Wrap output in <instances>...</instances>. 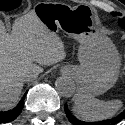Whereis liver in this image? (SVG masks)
<instances>
[{
	"label": "liver",
	"instance_id": "1",
	"mask_svg": "<svg viewBox=\"0 0 125 125\" xmlns=\"http://www.w3.org/2000/svg\"><path fill=\"white\" fill-rule=\"evenodd\" d=\"M65 57L63 42L40 22L34 11L17 18L11 33L0 21V110L11 109L18 102L23 74H39L43 71L40 65H51Z\"/></svg>",
	"mask_w": 125,
	"mask_h": 125
}]
</instances>
